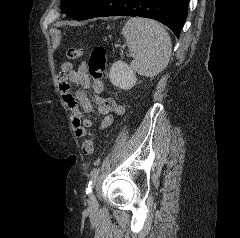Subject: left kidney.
Returning a JSON list of instances; mask_svg holds the SVG:
<instances>
[{
	"label": "left kidney",
	"mask_w": 240,
	"mask_h": 238,
	"mask_svg": "<svg viewBox=\"0 0 240 238\" xmlns=\"http://www.w3.org/2000/svg\"><path fill=\"white\" fill-rule=\"evenodd\" d=\"M109 79L114 86L124 90L131 89L137 81L132 68L123 61L113 63L110 69Z\"/></svg>",
	"instance_id": "1"
}]
</instances>
